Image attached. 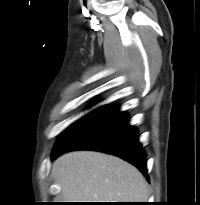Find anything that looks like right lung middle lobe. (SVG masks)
<instances>
[{
    "label": "right lung middle lobe",
    "instance_id": "obj_1",
    "mask_svg": "<svg viewBox=\"0 0 200 205\" xmlns=\"http://www.w3.org/2000/svg\"><path fill=\"white\" fill-rule=\"evenodd\" d=\"M113 106L112 105H104L95 111L91 112L90 114L86 115L85 117L81 118L74 124H72L68 129L64 131L60 139L58 140L54 151L58 148L66 145L71 139H73L77 134H79L82 130L92 124L95 120L99 117L104 115L108 112Z\"/></svg>",
    "mask_w": 200,
    "mask_h": 205
}]
</instances>
